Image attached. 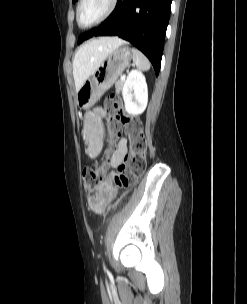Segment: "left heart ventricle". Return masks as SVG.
I'll return each instance as SVG.
<instances>
[{"label": "left heart ventricle", "instance_id": "b2bd125f", "mask_svg": "<svg viewBox=\"0 0 247 304\" xmlns=\"http://www.w3.org/2000/svg\"><path fill=\"white\" fill-rule=\"evenodd\" d=\"M109 0H86L81 7L80 22L88 25L99 18L107 9Z\"/></svg>", "mask_w": 247, "mask_h": 304}]
</instances>
